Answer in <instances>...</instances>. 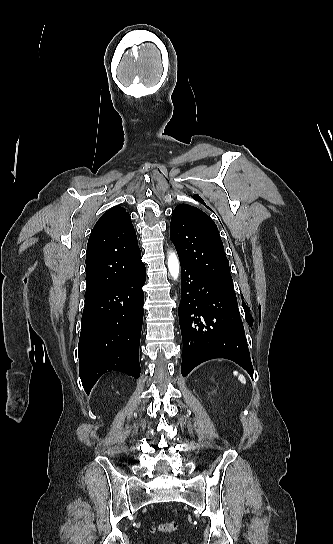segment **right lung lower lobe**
<instances>
[{
    "instance_id": "98d812e1",
    "label": "right lung lower lobe",
    "mask_w": 333,
    "mask_h": 544,
    "mask_svg": "<svg viewBox=\"0 0 333 544\" xmlns=\"http://www.w3.org/2000/svg\"><path fill=\"white\" fill-rule=\"evenodd\" d=\"M145 265L109 290L85 299L78 344L79 375L87 394L106 372L140 375Z\"/></svg>"
}]
</instances>
